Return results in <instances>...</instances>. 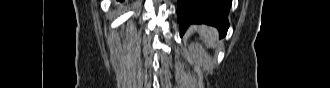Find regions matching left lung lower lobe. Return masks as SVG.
<instances>
[{
    "mask_svg": "<svg viewBox=\"0 0 330 88\" xmlns=\"http://www.w3.org/2000/svg\"><path fill=\"white\" fill-rule=\"evenodd\" d=\"M232 0H178L180 35L190 24H208L218 28L224 37L229 28L228 13Z\"/></svg>",
    "mask_w": 330,
    "mask_h": 88,
    "instance_id": "left-lung-lower-lobe-1",
    "label": "left lung lower lobe"
}]
</instances>
